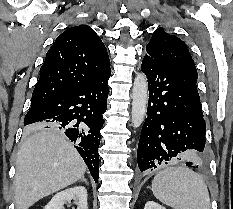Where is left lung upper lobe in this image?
I'll return each mask as SVG.
<instances>
[{
  "instance_id": "5c2ea615",
  "label": "left lung upper lobe",
  "mask_w": 233,
  "mask_h": 209,
  "mask_svg": "<svg viewBox=\"0 0 233 209\" xmlns=\"http://www.w3.org/2000/svg\"><path fill=\"white\" fill-rule=\"evenodd\" d=\"M146 51L148 56L198 77L186 44L178 37L166 33L163 28L154 31Z\"/></svg>"
}]
</instances>
